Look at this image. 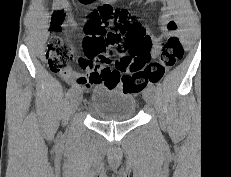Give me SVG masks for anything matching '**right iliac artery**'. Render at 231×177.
Returning a JSON list of instances; mask_svg holds the SVG:
<instances>
[{"label":"right iliac artery","instance_id":"1","mask_svg":"<svg viewBox=\"0 0 231 177\" xmlns=\"http://www.w3.org/2000/svg\"><path fill=\"white\" fill-rule=\"evenodd\" d=\"M74 92H75V87L72 86L67 92V97H71Z\"/></svg>","mask_w":231,"mask_h":177}]
</instances>
